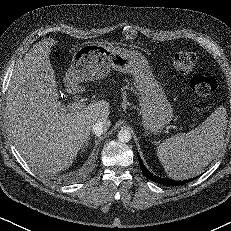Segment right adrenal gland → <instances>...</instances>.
Returning <instances> with one entry per match:
<instances>
[{
    "label": "right adrenal gland",
    "mask_w": 231,
    "mask_h": 231,
    "mask_svg": "<svg viewBox=\"0 0 231 231\" xmlns=\"http://www.w3.org/2000/svg\"><path fill=\"white\" fill-rule=\"evenodd\" d=\"M88 145H89V141L87 140V141L85 142V144L82 146L81 152H84L85 149L88 147Z\"/></svg>",
    "instance_id": "obj_1"
}]
</instances>
